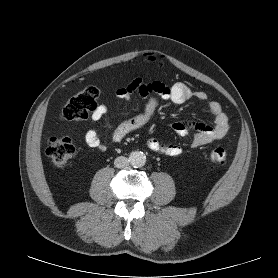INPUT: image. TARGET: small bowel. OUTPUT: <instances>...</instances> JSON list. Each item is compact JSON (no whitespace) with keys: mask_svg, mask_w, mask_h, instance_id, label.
<instances>
[{"mask_svg":"<svg viewBox=\"0 0 278 278\" xmlns=\"http://www.w3.org/2000/svg\"><path fill=\"white\" fill-rule=\"evenodd\" d=\"M133 95H138L146 101L143 111L123 121L116 127H112L107 122L109 106L100 104L96 107L90 118L92 126L85 133V142L89 147L101 152L107 149V146L101 142L94 126L97 122L103 121L112 130V140L114 142H120L128 134L144 127L150 121L160 100L170 101L175 104H184L193 99L200 102H206L208 99L205 92L193 91L183 82H177L168 86L158 81L145 83L140 78L134 79L127 86L121 87L116 91V97L125 102H129ZM208 110L214 117L213 126L202 123L189 124L186 122H175L172 124V130L179 136H186L194 132L191 141L193 147H200L222 139L228 132V116L223 110L222 105L217 101H210L208 103ZM146 144L150 150L167 156L176 157L182 153L181 146L172 143H163L156 138H148Z\"/></svg>","mask_w":278,"mask_h":278,"instance_id":"obj_1","label":"small bowel"}]
</instances>
